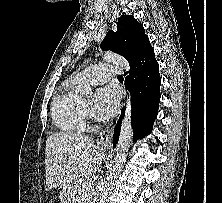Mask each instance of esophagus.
Returning a JSON list of instances; mask_svg holds the SVG:
<instances>
[{
	"label": "esophagus",
	"instance_id": "1",
	"mask_svg": "<svg viewBox=\"0 0 222 203\" xmlns=\"http://www.w3.org/2000/svg\"><path fill=\"white\" fill-rule=\"evenodd\" d=\"M118 118L115 119L110 125H108L98 136V143L103 147H111L112 146V135L113 130L117 124Z\"/></svg>",
	"mask_w": 222,
	"mask_h": 203
}]
</instances>
